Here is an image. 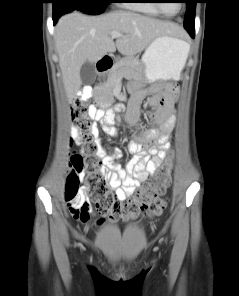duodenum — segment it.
Instances as JSON below:
<instances>
[{
	"instance_id": "1",
	"label": "duodenum",
	"mask_w": 239,
	"mask_h": 296,
	"mask_svg": "<svg viewBox=\"0 0 239 296\" xmlns=\"http://www.w3.org/2000/svg\"><path fill=\"white\" fill-rule=\"evenodd\" d=\"M114 66V60L110 56L101 57L96 65L97 71L99 73H104L110 70Z\"/></svg>"
}]
</instances>
